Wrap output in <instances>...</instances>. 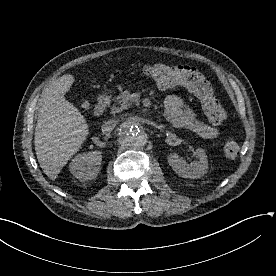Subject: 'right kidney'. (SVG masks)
<instances>
[{
    "instance_id": "1",
    "label": "right kidney",
    "mask_w": 276,
    "mask_h": 276,
    "mask_svg": "<svg viewBox=\"0 0 276 276\" xmlns=\"http://www.w3.org/2000/svg\"><path fill=\"white\" fill-rule=\"evenodd\" d=\"M100 151L78 154L70 163V172L80 181L94 179L101 170Z\"/></svg>"
}]
</instances>
